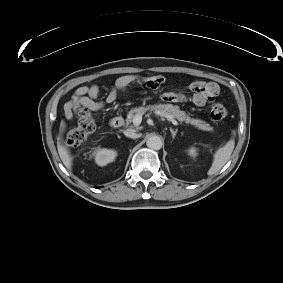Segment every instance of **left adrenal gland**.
<instances>
[{
    "label": "left adrenal gland",
    "mask_w": 283,
    "mask_h": 283,
    "mask_svg": "<svg viewBox=\"0 0 283 283\" xmlns=\"http://www.w3.org/2000/svg\"><path fill=\"white\" fill-rule=\"evenodd\" d=\"M170 132H171V134H172V138L174 139L175 136H176V134H177V132H178V130H177V129L174 130V129L170 128Z\"/></svg>",
    "instance_id": "a2214340"
}]
</instances>
